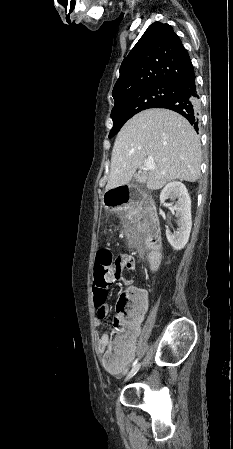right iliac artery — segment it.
<instances>
[{"label":"right iliac artery","instance_id":"right-iliac-artery-1","mask_svg":"<svg viewBox=\"0 0 233 449\" xmlns=\"http://www.w3.org/2000/svg\"><path fill=\"white\" fill-rule=\"evenodd\" d=\"M137 361H138V359H136V360L133 362L132 368H134V367L137 365Z\"/></svg>","mask_w":233,"mask_h":449}]
</instances>
